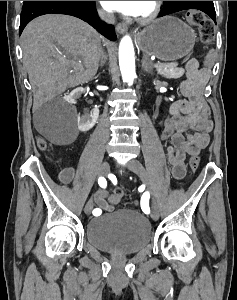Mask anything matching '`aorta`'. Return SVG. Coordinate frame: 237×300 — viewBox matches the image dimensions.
<instances>
[{
    "label": "aorta",
    "instance_id": "762f6f07",
    "mask_svg": "<svg viewBox=\"0 0 237 300\" xmlns=\"http://www.w3.org/2000/svg\"><path fill=\"white\" fill-rule=\"evenodd\" d=\"M119 67L124 83L133 85L136 77L134 49L131 37H123L119 45Z\"/></svg>",
    "mask_w": 237,
    "mask_h": 300
}]
</instances>
